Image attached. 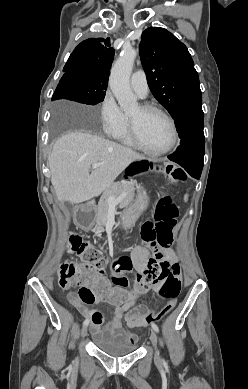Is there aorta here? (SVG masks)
Here are the masks:
<instances>
[{
  "instance_id": "obj_1",
  "label": "aorta",
  "mask_w": 248,
  "mask_h": 389,
  "mask_svg": "<svg viewBox=\"0 0 248 389\" xmlns=\"http://www.w3.org/2000/svg\"><path fill=\"white\" fill-rule=\"evenodd\" d=\"M137 56L133 48H125L111 70L109 85L118 104L124 111L137 107V98L130 87V75Z\"/></svg>"
}]
</instances>
